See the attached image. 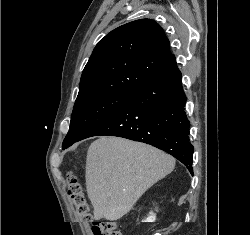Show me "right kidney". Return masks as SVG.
<instances>
[{"instance_id":"right-kidney-1","label":"right kidney","mask_w":250,"mask_h":235,"mask_svg":"<svg viewBox=\"0 0 250 235\" xmlns=\"http://www.w3.org/2000/svg\"><path fill=\"white\" fill-rule=\"evenodd\" d=\"M156 219V215L153 212L149 213V216L145 219V222H153Z\"/></svg>"}]
</instances>
